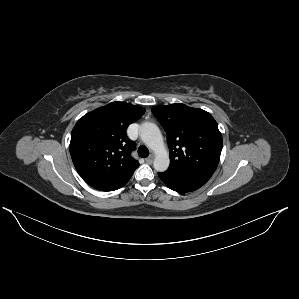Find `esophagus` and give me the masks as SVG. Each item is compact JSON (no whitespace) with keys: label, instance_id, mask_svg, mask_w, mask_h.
Returning <instances> with one entry per match:
<instances>
[{"label":"esophagus","instance_id":"esophagus-1","mask_svg":"<svg viewBox=\"0 0 299 299\" xmlns=\"http://www.w3.org/2000/svg\"><path fill=\"white\" fill-rule=\"evenodd\" d=\"M146 163L152 164L153 162V156H149L148 158L145 159Z\"/></svg>","mask_w":299,"mask_h":299}]
</instances>
